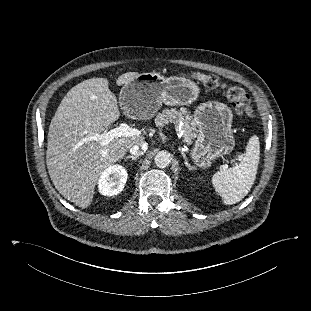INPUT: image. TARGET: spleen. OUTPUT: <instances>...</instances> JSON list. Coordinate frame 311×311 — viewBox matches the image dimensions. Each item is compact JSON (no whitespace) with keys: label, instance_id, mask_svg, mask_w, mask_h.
<instances>
[{"label":"spleen","instance_id":"3e777b00","mask_svg":"<svg viewBox=\"0 0 311 311\" xmlns=\"http://www.w3.org/2000/svg\"><path fill=\"white\" fill-rule=\"evenodd\" d=\"M259 159V138L254 135L249 139L245 155L238 165L213 175V187L226 205L239 202L249 193L256 178Z\"/></svg>","mask_w":311,"mask_h":311}]
</instances>
